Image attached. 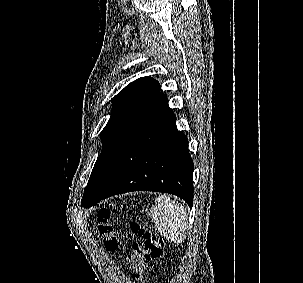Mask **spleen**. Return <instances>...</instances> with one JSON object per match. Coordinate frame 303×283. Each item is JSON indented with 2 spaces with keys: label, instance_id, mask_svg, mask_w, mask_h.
I'll use <instances>...</instances> for the list:
<instances>
[{
  "label": "spleen",
  "instance_id": "spleen-1",
  "mask_svg": "<svg viewBox=\"0 0 303 283\" xmlns=\"http://www.w3.org/2000/svg\"><path fill=\"white\" fill-rule=\"evenodd\" d=\"M148 216L167 240L175 244L183 242L188 228L187 215L178 201L170 200L166 195L159 196L155 205L149 209Z\"/></svg>",
  "mask_w": 303,
  "mask_h": 283
}]
</instances>
